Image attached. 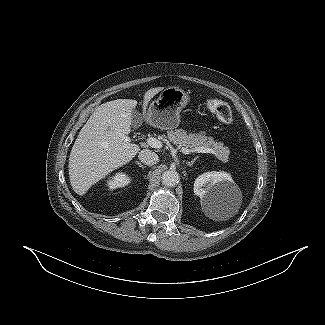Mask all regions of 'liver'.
<instances>
[{
  "mask_svg": "<svg viewBox=\"0 0 325 325\" xmlns=\"http://www.w3.org/2000/svg\"><path fill=\"white\" fill-rule=\"evenodd\" d=\"M163 87L144 94L143 115L147 123L148 102ZM137 101L117 99L98 106L80 130L69 156V179L75 193L88 189L113 170L131 161L140 151L137 144L124 141L131 131L132 111Z\"/></svg>",
  "mask_w": 325,
  "mask_h": 325,
  "instance_id": "obj_1",
  "label": "liver"
}]
</instances>
